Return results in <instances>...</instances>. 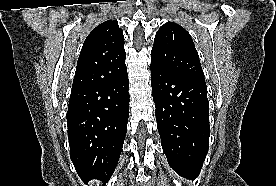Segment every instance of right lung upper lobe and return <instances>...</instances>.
<instances>
[{"label": "right lung upper lobe", "instance_id": "cb5924a9", "mask_svg": "<svg viewBox=\"0 0 276 186\" xmlns=\"http://www.w3.org/2000/svg\"><path fill=\"white\" fill-rule=\"evenodd\" d=\"M123 31L107 20L87 36L81 49L72 90L115 82L127 75Z\"/></svg>", "mask_w": 276, "mask_h": 186}]
</instances>
